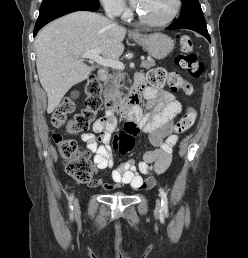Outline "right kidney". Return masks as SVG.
<instances>
[{"instance_id": "obj_1", "label": "right kidney", "mask_w": 248, "mask_h": 258, "mask_svg": "<svg viewBox=\"0 0 248 258\" xmlns=\"http://www.w3.org/2000/svg\"><path fill=\"white\" fill-rule=\"evenodd\" d=\"M77 95H78V93H76V92H75V93H73V97H75V96H77Z\"/></svg>"}]
</instances>
